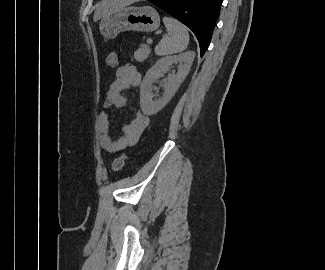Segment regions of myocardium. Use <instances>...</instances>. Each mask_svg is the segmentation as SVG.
<instances>
[{"mask_svg": "<svg viewBox=\"0 0 325 270\" xmlns=\"http://www.w3.org/2000/svg\"><path fill=\"white\" fill-rule=\"evenodd\" d=\"M135 1H141V0H127V2H135Z\"/></svg>", "mask_w": 325, "mask_h": 270, "instance_id": "myocardium-1", "label": "myocardium"}]
</instances>
